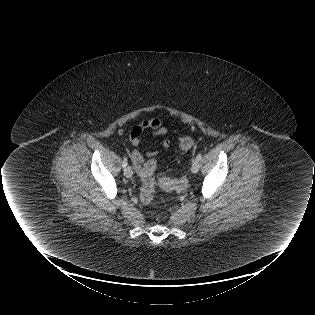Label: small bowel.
Instances as JSON below:
<instances>
[{
  "label": "small bowel",
  "instance_id": "c3829d8e",
  "mask_svg": "<svg viewBox=\"0 0 315 315\" xmlns=\"http://www.w3.org/2000/svg\"><path fill=\"white\" fill-rule=\"evenodd\" d=\"M148 129L152 131V136H163L168 133V129L164 126L162 119L158 117L145 119L131 128L130 140L134 147L141 145L143 142V132ZM160 146L168 149L171 146V142L167 139H164L160 142ZM157 154L158 151L145 152L147 157H155ZM130 157L135 170L140 173L144 162L143 154L135 148L131 151Z\"/></svg>",
  "mask_w": 315,
  "mask_h": 315
}]
</instances>
